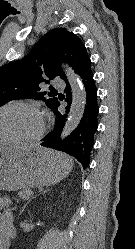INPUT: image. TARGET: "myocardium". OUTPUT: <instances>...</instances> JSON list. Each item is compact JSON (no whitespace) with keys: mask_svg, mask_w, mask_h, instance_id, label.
Masks as SVG:
<instances>
[{"mask_svg":"<svg viewBox=\"0 0 135 249\" xmlns=\"http://www.w3.org/2000/svg\"><path fill=\"white\" fill-rule=\"evenodd\" d=\"M9 107H24V108L34 111L40 117L41 127L38 133L32 138L0 140V144L28 146V145H33V144L38 143L44 136L47 126H48L47 116H46L45 111L35 103L26 102V101H11L0 106V112Z\"/></svg>","mask_w":135,"mask_h":249,"instance_id":"f54148a6","label":"myocardium"}]
</instances>
